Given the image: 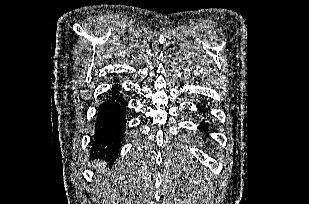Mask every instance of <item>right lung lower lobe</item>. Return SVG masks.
Wrapping results in <instances>:
<instances>
[{"mask_svg":"<svg viewBox=\"0 0 309 204\" xmlns=\"http://www.w3.org/2000/svg\"><path fill=\"white\" fill-rule=\"evenodd\" d=\"M127 101L114 87L99 106L96 114L92 152L94 158L113 162L122 146L126 129Z\"/></svg>","mask_w":309,"mask_h":204,"instance_id":"98d812e1","label":"right lung lower lobe"}]
</instances>
